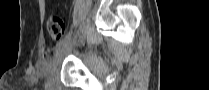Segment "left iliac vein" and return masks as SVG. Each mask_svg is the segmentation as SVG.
<instances>
[{"label": "left iliac vein", "mask_w": 209, "mask_h": 90, "mask_svg": "<svg viewBox=\"0 0 209 90\" xmlns=\"http://www.w3.org/2000/svg\"><path fill=\"white\" fill-rule=\"evenodd\" d=\"M69 44L70 41L68 43H66L65 45H63L54 55L51 63H50V69L54 70L56 69L60 63L62 62L64 56L66 55V53L69 51Z\"/></svg>", "instance_id": "4c4485c4"}]
</instances>
